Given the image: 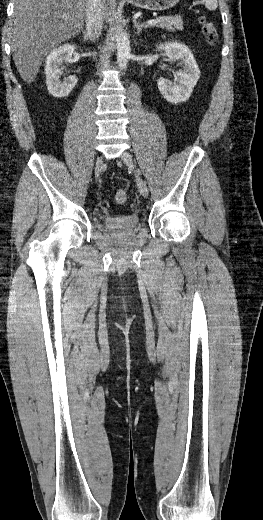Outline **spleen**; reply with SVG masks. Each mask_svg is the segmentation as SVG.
Here are the masks:
<instances>
[{
    "instance_id": "spleen-1",
    "label": "spleen",
    "mask_w": 263,
    "mask_h": 520,
    "mask_svg": "<svg viewBox=\"0 0 263 520\" xmlns=\"http://www.w3.org/2000/svg\"><path fill=\"white\" fill-rule=\"evenodd\" d=\"M208 10H215L218 7L217 0H202Z\"/></svg>"
}]
</instances>
